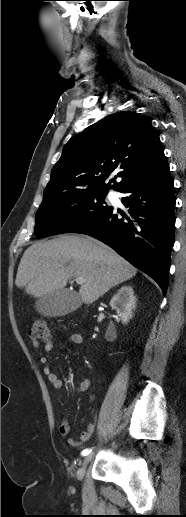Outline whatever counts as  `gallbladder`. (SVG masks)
I'll return each mask as SVG.
<instances>
[{"instance_id":"obj_1","label":"gallbladder","mask_w":186,"mask_h":517,"mask_svg":"<svg viewBox=\"0 0 186 517\" xmlns=\"http://www.w3.org/2000/svg\"><path fill=\"white\" fill-rule=\"evenodd\" d=\"M81 305L80 296L70 290H59L43 295L36 302V309L44 316L66 315Z\"/></svg>"}]
</instances>
